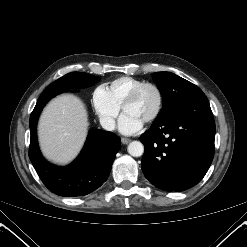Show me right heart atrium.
Masks as SVG:
<instances>
[{
    "label": "right heart atrium",
    "instance_id": "1",
    "mask_svg": "<svg viewBox=\"0 0 247 247\" xmlns=\"http://www.w3.org/2000/svg\"><path fill=\"white\" fill-rule=\"evenodd\" d=\"M93 106L101 125L107 130H113L115 120L120 112V106L113 100L105 86H99L95 89Z\"/></svg>",
    "mask_w": 247,
    "mask_h": 247
}]
</instances>
